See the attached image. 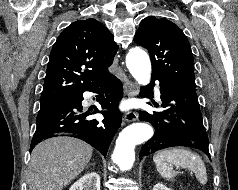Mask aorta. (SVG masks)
Segmentation results:
<instances>
[{
	"label": "aorta",
	"instance_id": "762f6f07",
	"mask_svg": "<svg viewBox=\"0 0 238 190\" xmlns=\"http://www.w3.org/2000/svg\"><path fill=\"white\" fill-rule=\"evenodd\" d=\"M126 65L132 76L140 85L148 84L151 73L149 56L142 49L136 47L126 56ZM153 136V130L146 123H133L122 130L116 141L112 160L121 170H128L135 160L136 145L148 141Z\"/></svg>",
	"mask_w": 238,
	"mask_h": 190
}]
</instances>
